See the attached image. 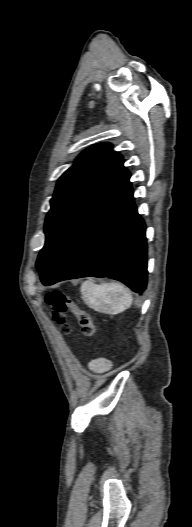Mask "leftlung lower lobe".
I'll return each mask as SVG.
<instances>
[{
	"label": "left lung lower lobe",
	"mask_w": 192,
	"mask_h": 527,
	"mask_svg": "<svg viewBox=\"0 0 192 527\" xmlns=\"http://www.w3.org/2000/svg\"><path fill=\"white\" fill-rule=\"evenodd\" d=\"M127 173L93 210L47 274L45 286L80 277H109L141 293L147 283L145 224Z\"/></svg>",
	"instance_id": "1"
}]
</instances>
